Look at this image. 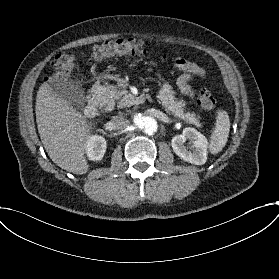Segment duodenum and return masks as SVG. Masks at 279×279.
<instances>
[{"label": "duodenum", "mask_w": 279, "mask_h": 279, "mask_svg": "<svg viewBox=\"0 0 279 279\" xmlns=\"http://www.w3.org/2000/svg\"><path fill=\"white\" fill-rule=\"evenodd\" d=\"M125 102L129 104H138L142 101L141 95L127 93L123 96ZM84 113L87 117H95L98 114V103L94 99H90L85 106Z\"/></svg>", "instance_id": "duodenum-1"}]
</instances>
